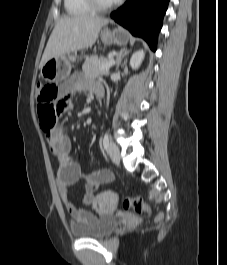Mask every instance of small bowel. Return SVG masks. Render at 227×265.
Wrapping results in <instances>:
<instances>
[{
  "label": "small bowel",
  "instance_id": "obj_1",
  "mask_svg": "<svg viewBox=\"0 0 227 265\" xmlns=\"http://www.w3.org/2000/svg\"><path fill=\"white\" fill-rule=\"evenodd\" d=\"M87 73H75L67 81H59L64 99L57 100L58 112H70L73 105L69 96L92 91L98 93L103 87L91 79L86 78ZM47 144L58 160L56 183L60 198L77 223L88 224L98 219L97 215L83 207L96 200V190L104 183L113 179L112 173L107 169L84 172L79 164L71 157V142L59 126H54L49 132H45ZM84 181L83 193L78 201H74L70 195L69 188L79 181Z\"/></svg>",
  "mask_w": 227,
  "mask_h": 265
}]
</instances>
